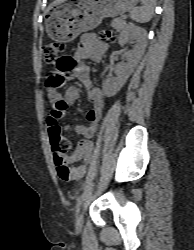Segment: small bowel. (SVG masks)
I'll use <instances>...</instances> for the list:
<instances>
[{
  "label": "small bowel",
  "instance_id": "obj_1",
  "mask_svg": "<svg viewBox=\"0 0 194 250\" xmlns=\"http://www.w3.org/2000/svg\"><path fill=\"white\" fill-rule=\"evenodd\" d=\"M107 50V43L103 41L95 33H85L82 35L80 43L71 57H64V76L68 78H76L80 80L86 90L89 102L92 108L86 113V123L73 128V131L82 136L73 153L65 158V162L71 171V177L68 180L81 179L91 161L94 144L92 137L97 129L98 121L104 107V92L101 88L92 85L89 79V67L85 64L86 60L96 63L103 61ZM52 71L60 72V65L57 64ZM48 87V86H47ZM48 96L52 101V106L47 117V125L49 135L61 134L62 127L60 119L65 115L68 107H70L80 96V91L76 86H68L64 95L61 96L55 89L48 87ZM62 101L64 107H59L57 103ZM69 129V126L65 127ZM78 163L77 165H74Z\"/></svg>",
  "mask_w": 194,
  "mask_h": 250
}]
</instances>
